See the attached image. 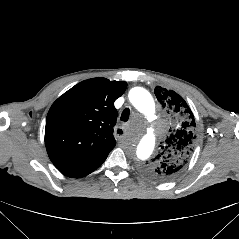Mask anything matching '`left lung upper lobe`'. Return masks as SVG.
Listing matches in <instances>:
<instances>
[{"label": "left lung upper lobe", "mask_w": 239, "mask_h": 239, "mask_svg": "<svg viewBox=\"0 0 239 239\" xmlns=\"http://www.w3.org/2000/svg\"><path fill=\"white\" fill-rule=\"evenodd\" d=\"M154 93L171 122V134L155 158L142 166V171L154 180L168 181L179 176L192 157L196 124L191 109L179 94L160 86Z\"/></svg>", "instance_id": "left-lung-upper-lobe-1"}]
</instances>
